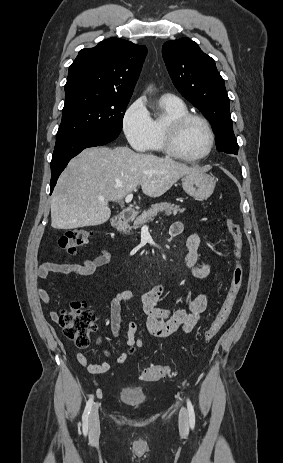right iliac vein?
Returning <instances> with one entry per match:
<instances>
[{
    "label": "right iliac vein",
    "instance_id": "obj_1",
    "mask_svg": "<svg viewBox=\"0 0 283 463\" xmlns=\"http://www.w3.org/2000/svg\"><path fill=\"white\" fill-rule=\"evenodd\" d=\"M99 405L95 404L91 410L89 418V436L91 438H96L99 435L100 431V422H99Z\"/></svg>",
    "mask_w": 283,
    "mask_h": 463
}]
</instances>
